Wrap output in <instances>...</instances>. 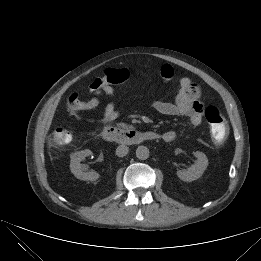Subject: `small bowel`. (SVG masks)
<instances>
[{
	"mask_svg": "<svg viewBox=\"0 0 261 261\" xmlns=\"http://www.w3.org/2000/svg\"><path fill=\"white\" fill-rule=\"evenodd\" d=\"M160 76L164 81H170L174 76V69L164 64L159 69ZM101 91L108 97L100 121L103 123L112 122L120 115V109L115 102V90L111 84H104ZM200 88L190 78L183 77L179 82V91L174 101H156L154 108L157 112L167 116L187 117L194 126L200 125L202 121L203 106L199 101ZM101 104L98 97L88 100L80 99L77 93L71 94L67 99V107L71 112L88 111L97 108ZM177 134L173 130L164 132L160 138L166 142L175 140Z\"/></svg>",
	"mask_w": 261,
	"mask_h": 261,
	"instance_id": "small-bowel-1",
	"label": "small bowel"
}]
</instances>
